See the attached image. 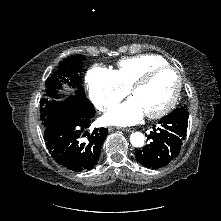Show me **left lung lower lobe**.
I'll list each match as a JSON object with an SVG mask.
<instances>
[{"label": "left lung lower lobe", "mask_w": 221, "mask_h": 221, "mask_svg": "<svg viewBox=\"0 0 221 221\" xmlns=\"http://www.w3.org/2000/svg\"><path fill=\"white\" fill-rule=\"evenodd\" d=\"M188 116L186 109L178 107L163 117L148 135L150 143L135 152L137 161L147 168L158 169L177 157L186 136Z\"/></svg>", "instance_id": "left-lung-lower-lobe-1"}]
</instances>
